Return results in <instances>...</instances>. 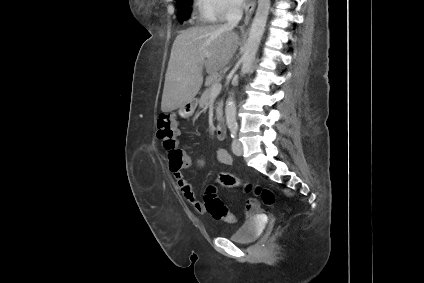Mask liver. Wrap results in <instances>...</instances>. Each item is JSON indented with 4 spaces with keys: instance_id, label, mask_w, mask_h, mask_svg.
<instances>
[{
    "instance_id": "liver-1",
    "label": "liver",
    "mask_w": 424,
    "mask_h": 283,
    "mask_svg": "<svg viewBox=\"0 0 424 283\" xmlns=\"http://www.w3.org/2000/svg\"><path fill=\"white\" fill-rule=\"evenodd\" d=\"M232 29L226 25H205L177 35L165 77L162 112L173 111L194 99L202 86L204 69L215 75L230 63L239 41Z\"/></svg>"
}]
</instances>
